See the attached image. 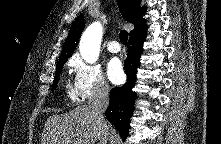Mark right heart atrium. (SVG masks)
<instances>
[{"mask_svg": "<svg viewBox=\"0 0 221 144\" xmlns=\"http://www.w3.org/2000/svg\"><path fill=\"white\" fill-rule=\"evenodd\" d=\"M71 67L75 74V94L79 100L101 98L109 93L110 87L98 65L75 57L71 61Z\"/></svg>", "mask_w": 221, "mask_h": 144, "instance_id": "1", "label": "right heart atrium"}]
</instances>
